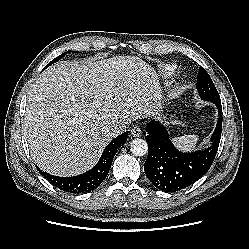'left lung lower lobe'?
<instances>
[{"label":"left lung lower lobe","instance_id":"0a47b994","mask_svg":"<svg viewBox=\"0 0 249 249\" xmlns=\"http://www.w3.org/2000/svg\"><path fill=\"white\" fill-rule=\"evenodd\" d=\"M219 118L213 135L212 144L205 150L183 153L177 150L167 130L158 121L151 120L146 126L148 156L144 170L152 184L164 191L175 192L186 188L201 178L211 167L221 139L222 106L214 103Z\"/></svg>","mask_w":249,"mask_h":249}]
</instances>
